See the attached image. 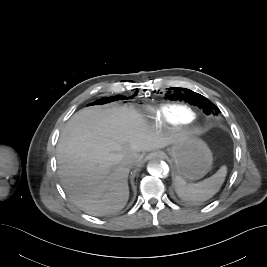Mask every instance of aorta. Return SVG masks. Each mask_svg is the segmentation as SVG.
<instances>
[{"label": "aorta", "instance_id": "762f6f07", "mask_svg": "<svg viewBox=\"0 0 267 267\" xmlns=\"http://www.w3.org/2000/svg\"><path fill=\"white\" fill-rule=\"evenodd\" d=\"M147 171L154 177L162 178L169 173V166L166 162L160 159H154L148 163Z\"/></svg>", "mask_w": 267, "mask_h": 267}]
</instances>
